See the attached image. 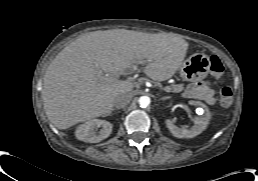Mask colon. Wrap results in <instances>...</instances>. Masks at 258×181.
Listing matches in <instances>:
<instances>
[{"label": "colon", "instance_id": "obj_1", "mask_svg": "<svg viewBox=\"0 0 258 181\" xmlns=\"http://www.w3.org/2000/svg\"><path fill=\"white\" fill-rule=\"evenodd\" d=\"M210 71L220 81H223L222 76L224 73V66L221 60L217 56H212L210 58ZM233 101V93L231 88L225 86L220 91V103L224 107H228L232 104Z\"/></svg>", "mask_w": 258, "mask_h": 181}]
</instances>
